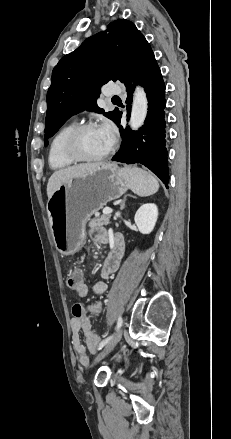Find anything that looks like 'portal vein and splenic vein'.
I'll use <instances>...</instances> for the list:
<instances>
[{"label":"portal vein and splenic vein","instance_id":"obj_1","mask_svg":"<svg viewBox=\"0 0 231 439\" xmlns=\"http://www.w3.org/2000/svg\"><path fill=\"white\" fill-rule=\"evenodd\" d=\"M113 212V210L111 208H104L103 209V214L104 215H109Z\"/></svg>","mask_w":231,"mask_h":439}]
</instances>
